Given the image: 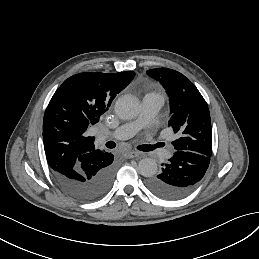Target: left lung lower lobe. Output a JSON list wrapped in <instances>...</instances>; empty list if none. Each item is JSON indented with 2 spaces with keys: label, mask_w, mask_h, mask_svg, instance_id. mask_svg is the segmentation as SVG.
I'll use <instances>...</instances> for the list:
<instances>
[{
  "label": "left lung lower lobe",
  "mask_w": 259,
  "mask_h": 259,
  "mask_svg": "<svg viewBox=\"0 0 259 259\" xmlns=\"http://www.w3.org/2000/svg\"><path fill=\"white\" fill-rule=\"evenodd\" d=\"M210 157L178 150L157 176L147 180L148 189L166 200H177L191 193L203 178Z\"/></svg>",
  "instance_id": "0a47b994"
}]
</instances>
